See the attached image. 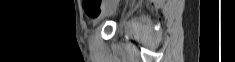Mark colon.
Wrapping results in <instances>:
<instances>
[{
  "label": "colon",
  "mask_w": 235,
  "mask_h": 62,
  "mask_svg": "<svg viewBox=\"0 0 235 62\" xmlns=\"http://www.w3.org/2000/svg\"><path fill=\"white\" fill-rule=\"evenodd\" d=\"M99 0H85L84 8L88 15H93V13L97 10V4Z\"/></svg>",
  "instance_id": "obj_1"
}]
</instances>
